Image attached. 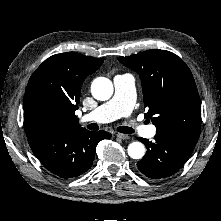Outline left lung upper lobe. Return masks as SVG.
Listing matches in <instances>:
<instances>
[{
    "label": "left lung upper lobe",
    "instance_id": "1",
    "mask_svg": "<svg viewBox=\"0 0 221 221\" xmlns=\"http://www.w3.org/2000/svg\"><path fill=\"white\" fill-rule=\"evenodd\" d=\"M118 60L141 78L146 117L156 133L176 132L199 138L201 102L188 66L174 53L148 50Z\"/></svg>",
    "mask_w": 221,
    "mask_h": 221
}]
</instances>
